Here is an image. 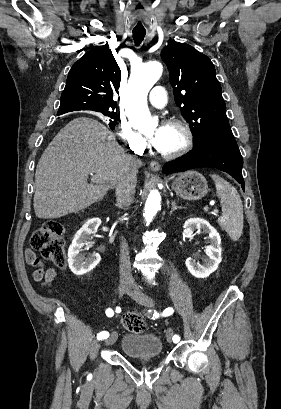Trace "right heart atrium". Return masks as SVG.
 <instances>
[{
    "label": "right heart atrium",
    "instance_id": "d8ad5b80",
    "mask_svg": "<svg viewBox=\"0 0 281 409\" xmlns=\"http://www.w3.org/2000/svg\"><path fill=\"white\" fill-rule=\"evenodd\" d=\"M127 119L120 124V136L125 145L135 152L145 149V142L138 135L139 126L143 115H126Z\"/></svg>",
    "mask_w": 281,
    "mask_h": 409
}]
</instances>
